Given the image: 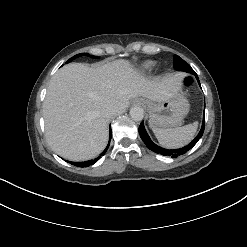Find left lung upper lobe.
<instances>
[{
	"label": "left lung upper lobe",
	"instance_id": "1",
	"mask_svg": "<svg viewBox=\"0 0 247 247\" xmlns=\"http://www.w3.org/2000/svg\"><path fill=\"white\" fill-rule=\"evenodd\" d=\"M174 69L177 71H185L191 74H196L195 71L191 68V66L185 62L182 58L175 55L173 58Z\"/></svg>",
	"mask_w": 247,
	"mask_h": 247
}]
</instances>
